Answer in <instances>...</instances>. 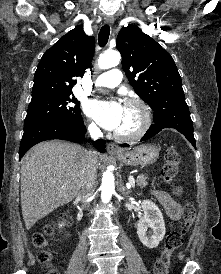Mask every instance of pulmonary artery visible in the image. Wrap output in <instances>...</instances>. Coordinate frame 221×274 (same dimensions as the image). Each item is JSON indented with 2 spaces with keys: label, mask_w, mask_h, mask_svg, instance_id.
I'll list each match as a JSON object with an SVG mask.
<instances>
[{
  "label": "pulmonary artery",
  "mask_w": 221,
  "mask_h": 274,
  "mask_svg": "<svg viewBox=\"0 0 221 274\" xmlns=\"http://www.w3.org/2000/svg\"><path fill=\"white\" fill-rule=\"evenodd\" d=\"M122 74L118 69H112L102 73L95 81L97 87L114 88L121 83Z\"/></svg>",
  "instance_id": "e3ab8cb5"
}]
</instances>
